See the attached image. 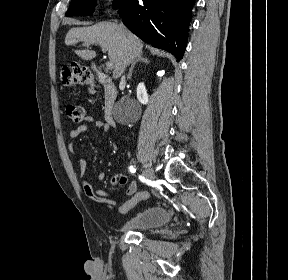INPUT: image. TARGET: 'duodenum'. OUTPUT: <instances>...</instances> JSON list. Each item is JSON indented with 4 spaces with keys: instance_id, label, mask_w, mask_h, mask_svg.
<instances>
[{
    "instance_id": "duodenum-1",
    "label": "duodenum",
    "mask_w": 288,
    "mask_h": 280,
    "mask_svg": "<svg viewBox=\"0 0 288 280\" xmlns=\"http://www.w3.org/2000/svg\"><path fill=\"white\" fill-rule=\"evenodd\" d=\"M99 81L104 86V115L109 125L115 126L113 108L117 98V88L113 81L104 73L96 70Z\"/></svg>"
}]
</instances>
